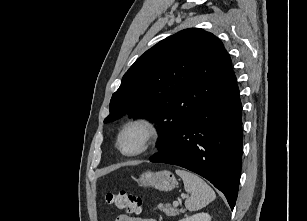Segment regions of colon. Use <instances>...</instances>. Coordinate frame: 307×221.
<instances>
[{"mask_svg":"<svg viewBox=\"0 0 307 221\" xmlns=\"http://www.w3.org/2000/svg\"><path fill=\"white\" fill-rule=\"evenodd\" d=\"M106 201L111 206L117 209H124L129 213H139L143 206V201L140 197L128 194L125 191L107 193Z\"/></svg>","mask_w":307,"mask_h":221,"instance_id":"obj_1","label":"colon"}]
</instances>
